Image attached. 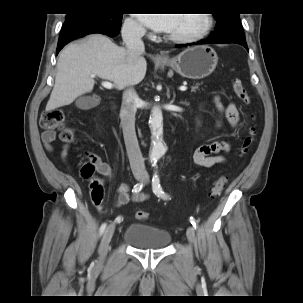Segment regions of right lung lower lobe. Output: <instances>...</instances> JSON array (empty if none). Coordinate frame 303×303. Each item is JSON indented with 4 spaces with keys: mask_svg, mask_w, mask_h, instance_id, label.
I'll return each instance as SVG.
<instances>
[{
    "mask_svg": "<svg viewBox=\"0 0 303 303\" xmlns=\"http://www.w3.org/2000/svg\"><path fill=\"white\" fill-rule=\"evenodd\" d=\"M122 19L102 17L90 14H73L67 17L58 40L57 52L70 41L92 33H101L109 37L119 34Z\"/></svg>",
    "mask_w": 303,
    "mask_h": 303,
    "instance_id": "obj_1",
    "label": "right lung lower lobe"
}]
</instances>
